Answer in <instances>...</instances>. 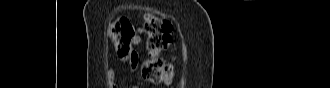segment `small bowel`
I'll return each instance as SVG.
<instances>
[{"label": "small bowel", "instance_id": "small-bowel-1", "mask_svg": "<svg viewBox=\"0 0 330 88\" xmlns=\"http://www.w3.org/2000/svg\"><path fill=\"white\" fill-rule=\"evenodd\" d=\"M135 36L132 39V46L139 45L141 43V35L144 34V30L141 27L135 28ZM124 61H128L131 63L132 69L135 70L139 61L137 53L133 50V53L128 58H121ZM107 78L109 81V85L111 88H117V84L115 81L116 71L114 69H110L107 73Z\"/></svg>", "mask_w": 330, "mask_h": 88}]
</instances>
